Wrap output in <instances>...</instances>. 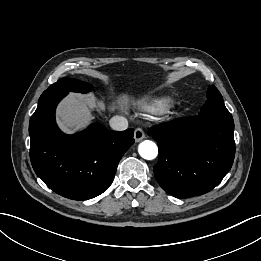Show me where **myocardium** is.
Here are the masks:
<instances>
[{"label": "myocardium", "mask_w": 261, "mask_h": 261, "mask_svg": "<svg viewBox=\"0 0 261 261\" xmlns=\"http://www.w3.org/2000/svg\"><path fill=\"white\" fill-rule=\"evenodd\" d=\"M168 114H172L173 112L171 110L166 111Z\"/></svg>", "instance_id": "obj_1"}]
</instances>
